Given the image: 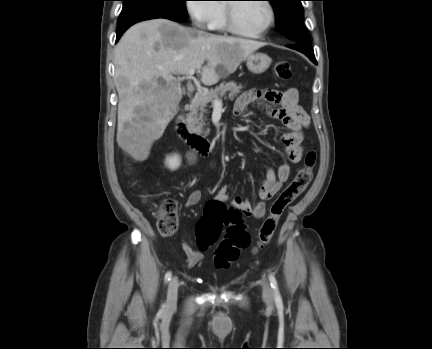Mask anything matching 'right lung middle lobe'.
<instances>
[{
	"label": "right lung middle lobe",
	"mask_w": 432,
	"mask_h": 349,
	"mask_svg": "<svg viewBox=\"0 0 432 349\" xmlns=\"http://www.w3.org/2000/svg\"><path fill=\"white\" fill-rule=\"evenodd\" d=\"M118 24L145 16H157L176 22L187 18V0H122Z\"/></svg>",
	"instance_id": "dd1d6c3e"
}]
</instances>
